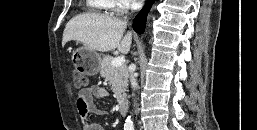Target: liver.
I'll use <instances>...</instances> for the list:
<instances>
[{"label":"liver","mask_w":257,"mask_h":130,"mask_svg":"<svg viewBox=\"0 0 257 130\" xmlns=\"http://www.w3.org/2000/svg\"><path fill=\"white\" fill-rule=\"evenodd\" d=\"M127 22L103 14L86 13L73 17L63 32L62 46L75 40L94 51L108 52L116 48L127 54L132 44V33L123 34Z\"/></svg>","instance_id":"liver-1"}]
</instances>
